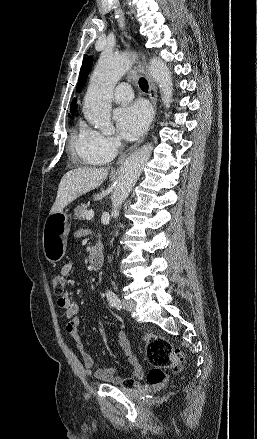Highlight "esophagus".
Returning a JSON list of instances; mask_svg holds the SVG:
<instances>
[{"label":"esophagus","instance_id":"esophagus-1","mask_svg":"<svg viewBox=\"0 0 257 439\" xmlns=\"http://www.w3.org/2000/svg\"><path fill=\"white\" fill-rule=\"evenodd\" d=\"M141 59H142V64H143V69H144V73L146 75L147 81H148V85H149V98L150 101L152 103L153 106V118L155 117L156 114V104H157V90H156V86L153 82V79L149 73V69L147 66V62L145 59V56L141 53ZM145 136H143L142 138H140L134 145H132L129 149H127L118 159L117 164H122L127 158L128 156L144 141Z\"/></svg>","mask_w":257,"mask_h":439}]
</instances>
